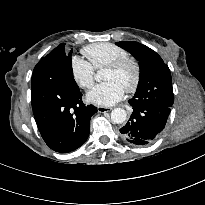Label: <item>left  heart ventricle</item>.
I'll return each mask as SVG.
<instances>
[{"instance_id":"1","label":"left heart ventricle","mask_w":205,"mask_h":205,"mask_svg":"<svg viewBox=\"0 0 205 205\" xmlns=\"http://www.w3.org/2000/svg\"><path fill=\"white\" fill-rule=\"evenodd\" d=\"M133 69L130 66H126L119 71H112L105 69L102 75L104 81L114 80L120 83L124 88L132 81Z\"/></svg>"}]
</instances>
